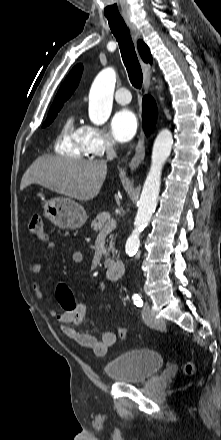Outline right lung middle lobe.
I'll use <instances>...</instances> for the list:
<instances>
[{"label": "right lung middle lobe", "mask_w": 221, "mask_h": 440, "mask_svg": "<svg viewBox=\"0 0 221 440\" xmlns=\"http://www.w3.org/2000/svg\"><path fill=\"white\" fill-rule=\"evenodd\" d=\"M61 108L62 106H58L49 111V114L47 116L46 121L43 124V127L48 126L54 120V118L56 117L57 113Z\"/></svg>", "instance_id": "right-lung-middle-lobe-1"}]
</instances>
